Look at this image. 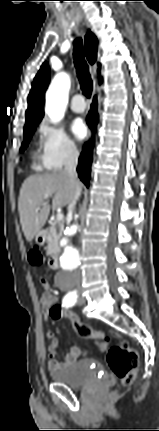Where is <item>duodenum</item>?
Masks as SVG:
<instances>
[{
  "mask_svg": "<svg viewBox=\"0 0 159 431\" xmlns=\"http://www.w3.org/2000/svg\"><path fill=\"white\" fill-rule=\"evenodd\" d=\"M46 236H47V232L46 231H42L40 233V238L41 239L44 240L46 238ZM49 266H50L51 269H54V270L59 268V255L58 254H53L50 257Z\"/></svg>",
  "mask_w": 159,
  "mask_h": 431,
  "instance_id": "obj_1",
  "label": "duodenum"
}]
</instances>
